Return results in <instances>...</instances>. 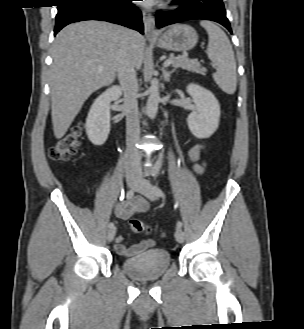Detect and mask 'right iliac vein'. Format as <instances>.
Wrapping results in <instances>:
<instances>
[{"instance_id": "1", "label": "right iliac vein", "mask_w": 304, "mask_h": 329, "mask_svg": "<svg viewBox=\"0 0 304 329\" xmlns=\"http://www.w3.org/2000/svg\"><path fill=\"white\" fill-rule=\"evenodd\" d=\"M138 184V180L135 177H127V185L130 188H135ZM116 234V228L112 227L107 232V239L108 241H112L114 239V236Z\"/></svg>"}]
</instances>
